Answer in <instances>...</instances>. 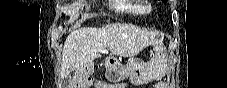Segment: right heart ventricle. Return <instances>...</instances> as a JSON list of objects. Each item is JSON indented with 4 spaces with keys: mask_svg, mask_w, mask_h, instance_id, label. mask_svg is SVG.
Instances as JSON below:
<instances>
[{
    "mask_svg": "<svg viewBox=\"0 0 227 88\" xmlns=\"http://www.w3.org/2000/svg\"><path fill=\"white\" fill-rule=\"evenodd\" d=\"M110 7L120 14L133 16L142 14L139 0H110Z\"/></svg>",
    "mask_w": 227,
    "mask_h": 88,
    "instance_id": "right-heart-ventricle-1",
    "label": "right heart ventricle"
}]
</instances>
